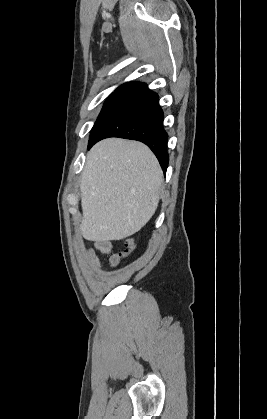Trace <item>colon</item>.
<instances>
[{"mask_svg": "<svg viewBox=\"0 0 267 419\" xmlns=\"http://www.w3.org/2000/svg\"><path fill=\"white\" fill-rule=\"evenodd\" d=\"M135 247V242L133 239H127L125 241V249L122 253H119V258H121L122 256L128 255L130 252H132V250Z\"/></svg>", "mask_w": 267, "mask_h": 419, "instance_id": "colon-1", "label": "colon"}]
</instances>
